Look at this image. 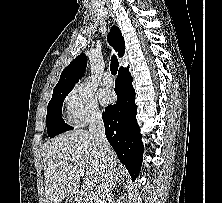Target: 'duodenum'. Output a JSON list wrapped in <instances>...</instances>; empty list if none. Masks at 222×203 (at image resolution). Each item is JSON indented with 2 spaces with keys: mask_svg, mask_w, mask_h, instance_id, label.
Instances as JSON below:
<instances>
[{
  "mask_svg": "<svg viewBox=\"0 0 222 203\" xmlns=\"http://www.w3.org/2000/svg\"><path fill=\"white\" fill-rule=\"evenodd\" d=\"M73 199L77 203H93L92 198L84 191L77 190L73 193Z\"/></svg>",
  "mask_w": 222,
  "mask_h": 203,
  "instance_id": "duodenum-1",
  "label": "duodenum"
}]
</instances>
